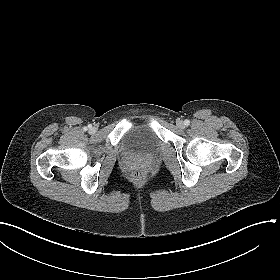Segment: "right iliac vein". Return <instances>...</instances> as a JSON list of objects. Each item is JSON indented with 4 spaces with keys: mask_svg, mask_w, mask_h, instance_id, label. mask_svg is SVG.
Listing matches in <instances>:
<instances>
[{
    "mask_svg": "<svg viewBox=\"0 0 280 280\" xmlns=\"http://www.w3.org/2000/svg\"><path fill=\"white\" fill-rule=\"evenodd\" d=\"M96 131H97V128H96V127H91V128H90V132H91V133H95Z\"/></svg>",
    "mask_w": 280,
    "mask_h": 280,
    "instance_id": "right-iliac-vein-1",
    "label": "right iliac vein"
}]
</instances>
